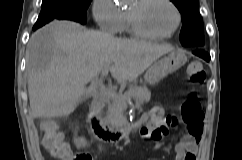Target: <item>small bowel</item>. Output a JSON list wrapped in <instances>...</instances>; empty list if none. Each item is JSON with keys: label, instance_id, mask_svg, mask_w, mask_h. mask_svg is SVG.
<instances>
[{"label": "small bowel", "instance_id": "obj_1", "mask_svg": "<svg viewBox=\"0 0 242 160\" xmlns=\"http://www.w3.org/2000/svg\"><path fill=\"white\" fill-rule=\"evenodd\" d=\"M178 120L175 117L163 119L161 113L155 114V119L150 122L148 127L141 130V136L144 139L154 138L152 134L158 131L162 134L169 128H173L177 125ZM159 139V138H154ZM202 139V127L201 130L195 134H187L180 143L175 146L176 160H196L198 151V145ZM69 156L67 160H74V154L67 143Z\"/></svg>", "mask_w": 242, "mask_h": 160}]
</instances>
